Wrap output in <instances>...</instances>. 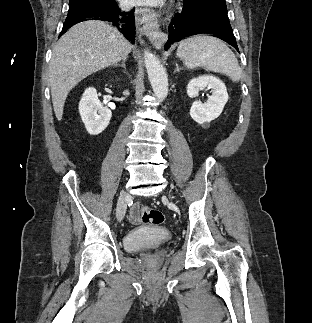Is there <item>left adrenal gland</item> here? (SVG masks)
Masks as SVG:
<instances>
[{
    "mask_svg": "<svg viewBox=\"0 0 312 323\" xmlns=\"http://www.w3.org/2000/svg\"><path fill=\"white\" fill-rule=\"evenodd\" d=\"M175 66H176V70H174V74H175V72H180V70H181V68H179L178 64H175Z\"/></svg>",
    "mask_w": 312,
    "mask_h": 323,
    "instance_id": "1",
    "label": "left adrenal gland"
}]
</instances>
